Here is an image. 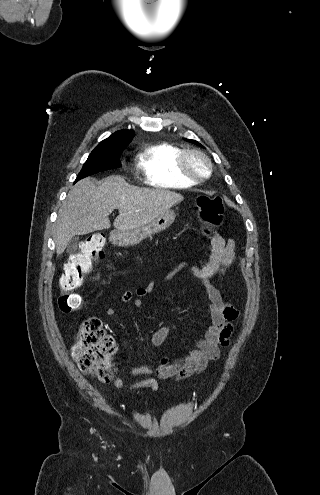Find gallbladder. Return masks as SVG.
<instances>
[{"label": "gallbladder", "instance_id": "obj_1", "mask_svg": "<svg viewBox=\"0 0 320 495\" xmlns=\"http://www.w3.org/2000/svg\"><path fill=\"white\" fill-rule=\"evenodd\" d=\"M77 245H78V237L77 236H74L70 239V241L68 242V245H67V252L68 253H73L75 252L76 248H77Z\"/></svg>", "mask_w": 320, "mask_h": 495}]
</instances>
